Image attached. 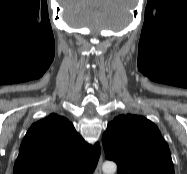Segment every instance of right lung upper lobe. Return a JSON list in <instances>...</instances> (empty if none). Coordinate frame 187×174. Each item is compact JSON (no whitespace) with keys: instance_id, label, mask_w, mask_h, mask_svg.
Listing matches in <instances>:
<instances>
[{"instance_id":"1","label":"right lung upper lobe","mask_w":187,"mask_h":174,"mask_svg":"<svg viewBox=\"0 0 187 174\" xmlns=\"http://www.w3.org/2000/svg\"><path fill=\"white\" fill-rule=\"evenodd\" d=\"M100 146H90L65 117L51 114L25 135L13 174H91Z\"/></svg>"}]
</instances>
